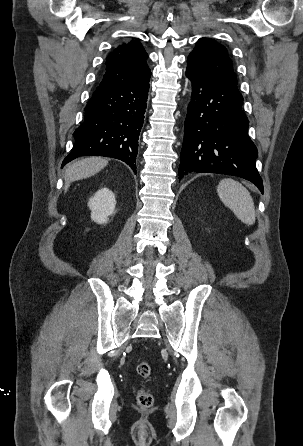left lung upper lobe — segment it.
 Here are the masks:
<instances>
[{
  "label": "left lung upper lobe",
  "instance_id": "1",
  "mask_svg": "<svg viewBox=\"0 0 303 446\" xmlns=\"http://www.w3.org/2000/svg\"><path fill=\"white\" fill-rule=\"evenodd\" d=\"M188 58L237 86V78L227 49L212 39L201 38Z\"/></svg>",
  "mask_w": 303,
  "mask_h": 446
}]
</instances>
